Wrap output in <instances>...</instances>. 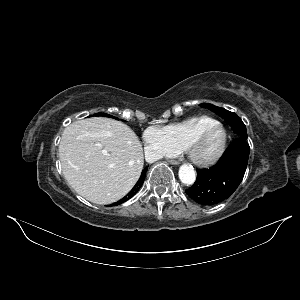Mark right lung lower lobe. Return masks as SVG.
<instances>
[{
  "instance_id": "obj_1",
  "label": "right lung lower lobe",
  "mask_w": 300,
  "mask_h": 300,
  "mask_svg": "<svg viewBox=\"0 0 300 300\" xmlns=\"http://www.w3.org/2000/svg\"><path fill=\"white\" fill-rule=\"evenodd\" d=\"M146 172H147V167L144 168V170L142 171V174H141V176H140V178H139V180H138V182H137V183H139L141 186H142V184H143V182H144ZM137 183H136V184H137ZM135 186H136V185H135ZM135 186L133 187V189H132V190H131L124 198H122L120 201L114 203V205H119V204H121V203L127 201V200L130 199L131 197H133V196L138 192V191L135 192V191H136V190H135V189H136Z\"/></svg>"
}]
</instances>
